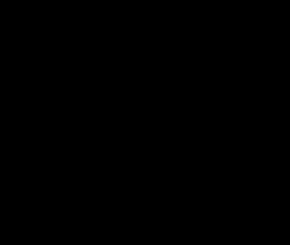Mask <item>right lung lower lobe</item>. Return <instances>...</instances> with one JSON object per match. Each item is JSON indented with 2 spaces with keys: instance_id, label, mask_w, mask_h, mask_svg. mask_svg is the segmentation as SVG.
<instances>
[{
  "instance_id": "98d812e1",
  "label": "right lung lower lobe",
  "mask_w": 290,
  "mask_h": 245,
  "mask_svg": "<svg viewBox=\"0 0 290 245\" xmlns=\"http://www.w3.org/2000/svg\"><path fill=\"white\" fill-rule=\"evenodd\" d=\"M32 147L43 165L53 175L63 181L75 183H89L108 175L114 169L119 155V146H116L106 157L95 164L76 165L47 153L34 142Z\"/></svg>"
}]
</instances>
